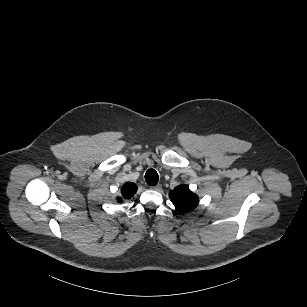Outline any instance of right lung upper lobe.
<instances>
[{"label": "right lung upper lobe", "instance_id": "obj_1", "mask_svg": "<svg viewBox=\"0 0 307 307\" xmlns=\"http://www.w3.org/2000/svg\"><path fill=\"white\" fill-rule=\"evenodd\" d=\"M137 191V186L134 183H126L121 190L122 197H118L117 200L119 202L122 199H129L131 198Z\"/></svg>", "mask_w": 307, "mask_h": 307}]
</instances>
